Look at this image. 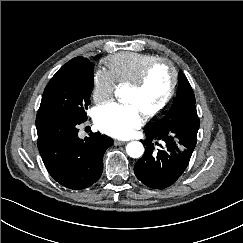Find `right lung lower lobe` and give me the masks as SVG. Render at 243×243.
<instances>
[{"label": "right lung lower lobe", "instance_id": "1", "mask_svg": "<svg viewBox=\"0 0 243 243\" xmlns=\"http://www.w3.org/2000/svg\"><path fill=\"white\" fill-rule=\"evenodd\" d=\"M84 121L42 117L36 119L38 149L52 178L64 187L91 186L103 171V155L113 141L100 133L84 140L77 126Z\"/></svg>", "mask_w": 243, "mask_h": 243}]
</instances>
